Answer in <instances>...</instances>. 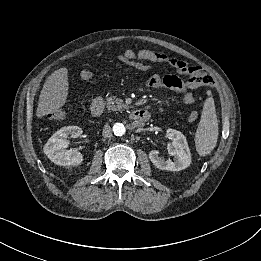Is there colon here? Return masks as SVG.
<instances>
[{"instance_id":"colon-1","label":"colon","mask_w":261,"mask_h":261,"mask_svg":"<svg viewBox=\"0 0 261 261\" xmlns=\"http://www.w3.org/2000/svg\"><path fill=\"white\" fill-rule=\"evenodd\" d=\"M173 67L178 74L187 76V82L193 87H210L213 84V79L206 70L200 66L190 65L183 60L177 59ZM47 116L51 119L62 120L66 116V109H51L48 111ZM197 116L198 114L194 112L191 114V119H196Z\"/></svg>"}]
</instances>
